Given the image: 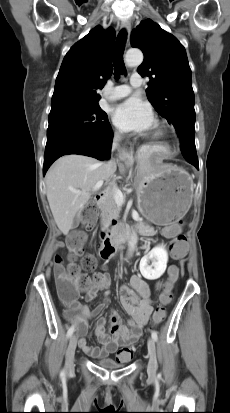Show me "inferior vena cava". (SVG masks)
<instances>
[{
  "instance_id": "1",
  "label": "inferior vena cava",
  "mask_w": 230,
  "mask_h": 413,
  "mask_svg": "<svg viewBox=\"0 0 230 413\" xmlns=\"http://www.w3.org/2000/svg\"><path fill=\"white\" fill-rule=\"evenodd\" d=\"M117 140V139H116ZM116 147V143L113 142V146H112V150L115 149ZM104 168L108 171V172H114L116 169V163L113 160H109L108 162H106L104 164Z\"/></svg>"
}]
</instances>
